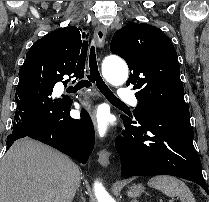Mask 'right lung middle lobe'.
Listing matches in <instances>:
<instances>
[{"label": "right lung middle lobe", "instance_id": "obj_1", "mask_svg": "<svg viewBox=\"0 0 209 202\" xmlns=\"http://www.w3.org/2000/svg\"><path fill=\"white\" fill-rule=\"evenodd\" d=\"M41 81H44L45 83L52 85L55 81L48 77H40Z\"/></svg>", "mask_w": 209, "mask_h": 202}]
</instances>
